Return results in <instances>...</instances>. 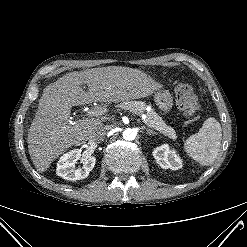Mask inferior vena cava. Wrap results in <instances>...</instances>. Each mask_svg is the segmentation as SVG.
I'll use <instances>...</instances> for the list:
<instances>
[{
	"label": "inferior vena cava",
	"instance_id": "1",
	"mask_svg": "<svg viewBox=\"0 0 247 247\" xmlns=\"http://www.w3.org/2000/svg\"><path fill=\"white\" fill-rule=\"evenodd\" d=\"M106 134H107V128L99 127L90 134L89 138L94 142H101L104 140Z\"/></svg>",
	"mask_w": 247,
	"mask_h": 247
}]
</instances>
